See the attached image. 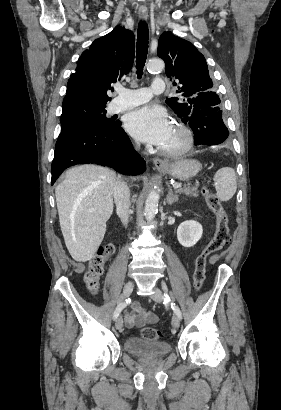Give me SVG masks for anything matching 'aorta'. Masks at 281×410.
Wrapping results in <instances>:
<instances>
[{"mask_svg": "<svg viewBox=\"0 0 281 410\" xmlns=\"http://www.w3.org/2000/svg\"><path fill=\"white\" fill-rule=\"evenodd\" d=\"M148 71H161L164 69L165 64L161 59H151L147 63ZM159 193L156 190H152L146 199L144 215L146 220L151 221L158 212Z\"/></svg>", "mask_w": 281, "mask_h": 410, "instance_id": "762f6f07", "label": "aorta"}]
</instances>
